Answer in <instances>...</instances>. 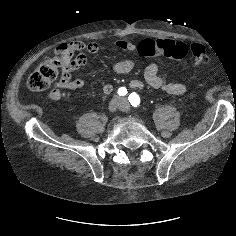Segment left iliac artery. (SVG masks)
Masks as SVG:
<instances>
[{"label": "left iliac artery", "mask_w": 236, "mask_h": 236, "mask_svg": "<svg viewBox=\"0 0 236 236\" xmlns=\"http://www.w3.org/2000/svg\"><path fill=\"white\" fill-rule=\"evenodd\" d=\"M129 102L131 103L132 106L137 107L140 104V97L137 93L133 92L129 95L128 97Z\"/></svg>", "instance_id": "44dca946"}]
</instances>
